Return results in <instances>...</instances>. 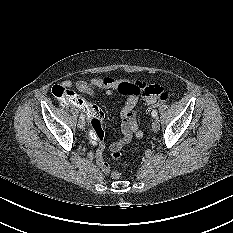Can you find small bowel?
I'll use <instances>...</instances> for the list:
<instances>
[{"instance_id":"1","label":"small bowel","mask_w":233,"mask_h":233,"mask_svg":"<svg viewBox=\"0 0 233 233\" xmlns=\"http://www.w3.org/2000/svg\"><path fill=\"white\" fill-rule=\"evenodd\" d=\"M73 85L77 90L89 96H94L97 91L106 94L117 92L127 96L125 105L120 111V117L122 119V136L110 145L112 153L120 151L133 138H141L143 136V132L136 119L135 108L140 98H143L147 105L156 100V97L148 96L144 92L145 88L151 85L139 81L134 82L126 79H118L111 76L103 78L95 77L89 81L78 80L74 84L71 81H64L61 84V86L70 90ZM103 150L104 146L100 143L96 153V162L100 170L104 174H108L110 172V167L103 159Z\"/></svg>"}]
</instances>
